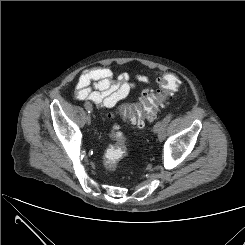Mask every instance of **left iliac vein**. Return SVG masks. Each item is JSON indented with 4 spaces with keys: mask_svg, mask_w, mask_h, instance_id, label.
Listing matches in <instances>:
<instances>
[{
    "mask_svg": "<svg viewBox=\"0 0 245 245\" xmlns=\"http://www.w3.org/2000/svg\"><path fill=\"white\" fill-rule=\"evenodd\" d=\"M162 124H163V121H159V122H157L156 124H155V126H154V133H158V138H159V140H163L164 139V137L162 136V134H161V132H160V127L162 126Z\"/></svg>",
    "mask_w": 245,
    "mask_h": 245,
    "instance_id": "4c4485c4",
    "label": "left iliac vein"
}]
</instances>
